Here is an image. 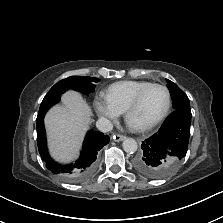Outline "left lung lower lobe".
<instances>
[{"instance_id": "0a47b994", "label": "left lung lower lobe", "mask_w": 223, "mask_h": 223, "mask_svg": "<svg viewBox=\"0 0 223 223\" xmlns=\"http://www.w3.org/2000/svg\"><path fill=\"white\" fill-rule=\"evenodd\" d=\"M191 112L174 110L157 133L146 139L134 168L142 175L160 179L171 174L187 153Z\"/></svg>"}]
</instances>
